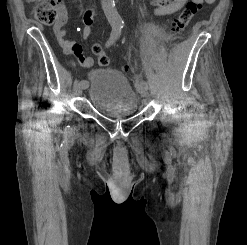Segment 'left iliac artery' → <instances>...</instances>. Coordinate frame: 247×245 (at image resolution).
I'll return each instance as SVG.
<instances>
[{
	"mask_svg": "<svg viewBox=\"0 0 247 245\" xmlns=\"http://www.w3.org/2000/svg\"><path fill=\"white\" fill-rule=\"evenodd\" d=\"M141 84L147 85L145 81H140Z\"/></svg>",
	"mask_w": 247,
	"mask_h": 245,
	"instance_id": "44dca946",
	"label": "left iliac artery"
}]
</instances>
